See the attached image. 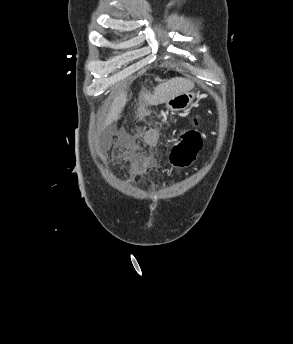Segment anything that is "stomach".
I'll return each mask as SVG.
<instances>
[{"label":"stomach","instance_id":"1","mask_svg":"<svg viewBox=\"0 0 293 344\" xmlns=\"http://www.w3.org/2000/svg\"><path fill=\"white\" fill-rule=\"evenodd\" d=\"M195 96L196 95L193 92H186V93L179 94L173 98H170L166 102V108L173 113L184 111L194 101Z\"/></svg>","mask_w":293,"mask_h":344}]
</instances>
